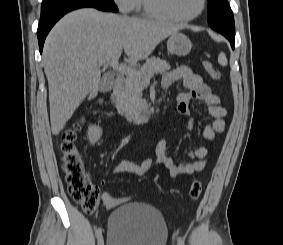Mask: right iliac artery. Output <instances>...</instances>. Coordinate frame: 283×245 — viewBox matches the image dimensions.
Listing matches in <instances>:
<instances>
[{
  "mask_svg": "<svg viewBox=\"0 0 283 245\" xmlns=\"http://www.w3.org/2000/svg\"><path fill=\"white\" fill-rule=\"evenodd\" d=\"M97 239H99L102 236V229L98 228L95 232Z\"/></svg>",
  "mask_w": 283,
  "mask_h": 245,
  "instance_id": "right-iliac-artery-1",
  "label": "right iliac artery"
}]
</instances>
